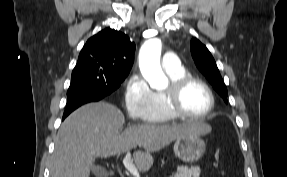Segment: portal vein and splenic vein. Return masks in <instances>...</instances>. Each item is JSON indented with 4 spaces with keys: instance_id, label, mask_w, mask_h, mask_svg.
Returning a JSON list of instances; mask_svg holds the SVG:
<instances>
[{
    "instance_id": "18ae733b",
    "label": "portal vein and splenic vein",
    "mask_w": 287,
    "mask_h": 177,
    "mask_svg": "<svg viewBox=\"0 0 287 177\" xmlns=\"http://www.w3.org/2000/svg\"><path fill=\"white\" fill-rule=\"evenodd\" d=\"M122 162L125 168L130 172V174H132L134 177H140V173L138 172V169L134 165L129 151L127 152L126 156L123 158Z\"/></svg>"
}]
</instances>
